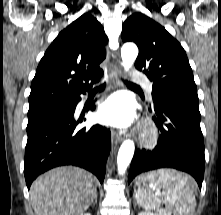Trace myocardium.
Returning a JSON list of instances; mask_svg holds the SVG:
<instances>
[{
	"mask_svg": "<svg viewBox=\"0 0 221 215\" xmlns=\"http://www.w3.org/2000/svg\"><path fill=\"white\" fill-rule=\"evenodd\" d=\"M158 139V133L156 129L149 124L142 126L139 132L138 141L143 146H154Z\"/></svg>",
	"mask_w": 221,
	"mask_h": 215,
	"instance_id": "f54148a6",
	"label": "myocardium"
}]
</instances>
